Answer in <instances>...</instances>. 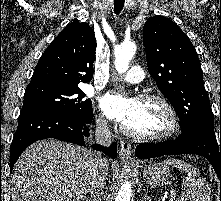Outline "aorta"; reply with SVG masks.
<instances>
[{
    "label": "aorta",
    "instance_id": "obj_1",
    "mask_svg": "<svg viewBox=\"0 0 221 201\" xmlns=\"http://www.w3.org/2000/svg\"><path fill=\"white\" fill-rule=\"evenodd\" d=\"M136 45L134 42H123L115 48V67L119 73H124L129 68V62L134 57ZM132 196V187L130 182L126 181L120 188L115 201H130Z\"/></svg>",
    "mask_w": 221,
    "mask_h": 201
}]
</instances>
